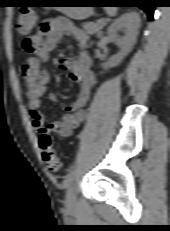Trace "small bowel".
<instances>
[{
  "label": "small bowel",
  "mask_w": 170,
  "mask_h": 231,
  "mask_svg": "<svg viewBox=\"0 0 170 231\" xmlns=\"http://www.w3.org/2000/svg\"><path fill=\"white\" fill-rule=\"evenodd\" d=\"M36 36L39 44L34 52L35 55L22 66L32 128L39 134H54L59 139H66L71 136L73 130L84 119V107L90 98L95 83L90 57L86 51L88 37L70 20L63 17L43 21ZM64 37L74 39L79 49V55L76 59H68L61 63V67L68 71L71 79L78 83L79 91L76 99L66 107L62 116L46 126L45 117L40 107L42 96L47 90L49 75L42 69V64L48 60L51 51ZM48 98L52 102L57 101V96L53 93L49 94Z\"/></svg>",
  "instance_id": "c3829d8e"
}]
</instances>
